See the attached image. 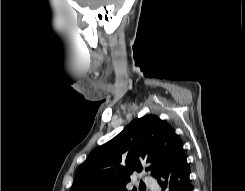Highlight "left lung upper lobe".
Here are the masks:
<instances>
[{
	"instance_id": "obj_1",
	"label": "left lung upper lobe",
	"mask_w": 245,
	"mask_h": 191,
	"mask_svg": "<svg viewBox=\"0 0 245 191\" xmlns=\"http://www.w3.org/2000/svg\"><path fill=\"white\" fill-rule=\"evenodd\" d=\"M181 148L174 130L157 116L136 118L87 157L70 191H127L130 174L145 166L153 177H158Z\"/></svg>"
}]
</instances>
